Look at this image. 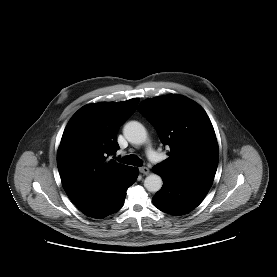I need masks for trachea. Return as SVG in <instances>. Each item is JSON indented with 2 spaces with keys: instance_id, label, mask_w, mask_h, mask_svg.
Masks as SVG:
<instances>
[{
  "instance_id": "obj_1",
  "label": "trachea",
  "mask_w": 277,
  "mask_h": 277,
  "mask_svg": "<svg viewBox=\"0 0 277 277\" xmlns=\"http://www.w3.org/2000/svg\"><path fill=\"white\" fill-rule=\"evenodd\" d=\"M119 162H122L128 165L138 166V167L142 165V160L138 156L133 154L128 155L122 159H119Z\"/></svg>"
}]
</instances>
